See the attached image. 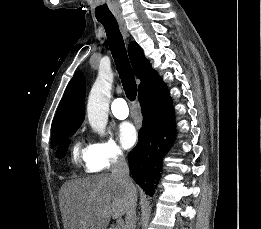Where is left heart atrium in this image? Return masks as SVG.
I'll list each match as a JSON object with an SVG mask.
<instances>
[{"mask_svg":"<svg viewBox=\"0 0 261 229\" xmlns=\"http://www.w3.org/2000/svg\"><path fill=\"white\" fill-rule=\"evenodd\" d=\"M119 139L123 147L131 148L137 141L138 133L130 122L122 123L119 127Z\"/></svg>","mask_w":261,"mask_h":229,"instance_id":"left-heart-atrium-1","label":"left heart atrium"}]
</instances>
